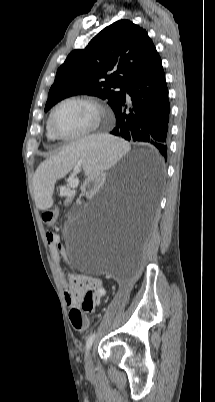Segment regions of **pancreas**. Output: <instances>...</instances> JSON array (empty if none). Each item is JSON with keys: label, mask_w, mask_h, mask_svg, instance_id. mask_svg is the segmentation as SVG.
Instances as JSON below:
<instances>
[{"label": "pancreas", "mask_w": 215, "mask_h": 402, "mask_svg": "<svg viewBox=\"0 0 215 402\" xmlns=\"http://www.w3.org/2000/svg\"><path fill=\"white\" fill-rule=\"evenodd\" d=\"M70 188H71V185L69 184V185H68V189H67V190L69 191V190H70Z\"/></svg>", "instance_id": "cf45deb5"}]
</instances>
